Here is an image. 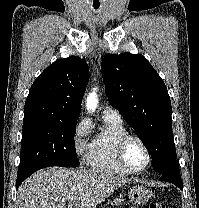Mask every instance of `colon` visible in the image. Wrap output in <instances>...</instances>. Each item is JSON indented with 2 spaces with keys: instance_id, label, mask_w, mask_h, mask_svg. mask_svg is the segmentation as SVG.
Here are the masks:
<instances>
[{
  "instance_id": "colon-1",
  "label": "colon",
  "mask_w": 199,
  "mask_h": 208,
  "mask_svg": "<svg viewBox=\"0 0 199 208\" xmlns=\"http://www.w3.org/2000/svg\"><path fill=\"white\" fill-rule=\"evenodd\" d=\"M147 208H166V205L162 202H150Z\"/></svg>"
}]
</instances>
